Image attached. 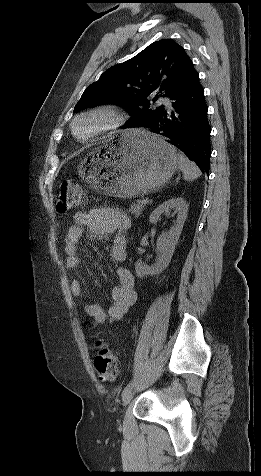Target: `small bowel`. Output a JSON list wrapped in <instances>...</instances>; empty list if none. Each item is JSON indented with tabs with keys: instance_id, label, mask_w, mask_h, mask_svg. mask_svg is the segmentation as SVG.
Here are the masks:
<instances>
[{
	"instance_id": "small-bowel-1",
	"label": "small bowel",
	"mask_w": 261,
	"mask_h": 476,
	"mask_svg": "<svg viewBox=\"0 0 261 476\" xmlns=\"http://www.w3.org/2000/svg\"><path fill=\"white\" fill-rule=\"evenodd\" d=\"M131 226L129 216L119 208L101 207L88 212L77 213L75 223L69 228L66 236V261L67 269L73 270L79 267V245L86 232L96 239L113 237L110 249V258L116 263L125 261L127 257L126 232ZM118 285L111 289L112 303L105 310L101 305L93 302H85V313L99 325L104 322H114L121 319L132 307L137 299L134 290L133 274L124 267L116 270ZM71 292L75 297L82 294V283L73 280Z\"/></svg>"
}]
</instances>
